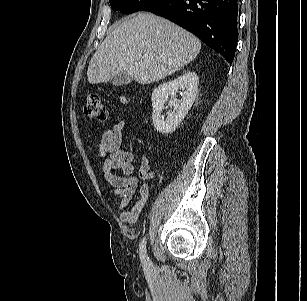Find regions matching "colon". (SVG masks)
I'll return each mask as SVG.
<instances>
[{"instance_id":"5ec220e1","label":"colon","mask_w":307,"mask_h":301,"mask_svg":"<svg viewBox=\"0 0 307 301\" xmlns=\"http://www.w3.org/2000/svg\"><path fill=\"white\" fill-rule=\"evenodd\" d=\"M125 101V97H121ZM85 112L86 114L98 121L106 122L109 120V111L102 101L101 97L95 93H88L85 97ZM126 159H132L131 155H127Z\"/></svg>"}]
</instances>
